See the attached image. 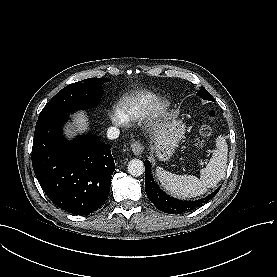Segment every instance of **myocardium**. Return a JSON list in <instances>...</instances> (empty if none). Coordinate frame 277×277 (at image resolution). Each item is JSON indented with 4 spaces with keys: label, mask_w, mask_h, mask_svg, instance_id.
I'll use <instances>...</instances> for the list:
<instances>
[{
    "label": "myocardium",
    "mask_w": 277,
    "mask_h": 277,
    "mask_svg": "<svg viewBox=\"0 0 277 277\" xmlns=\"http://www.w3.org/2000/svg\"><path fill=\"white\" fill-rule=\"evenodd\" d=\"M168 110V104L165 101H159L155 104L153 112L159 115L166 113Z\"/></svg>",
    "instance_id": "myocardium-1"
}]
</instances>
